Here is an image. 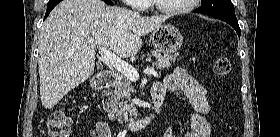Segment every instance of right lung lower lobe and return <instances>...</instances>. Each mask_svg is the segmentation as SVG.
<instances>
[{
    "label": "right lung lower lobe",
    "mask_w": 280,
    "mask_h": 137,
    "mask_svg": "<svg viewBox=\"0 0 280 137\" xmlns=\"http://www.w3.org/2000/svg\"><path fill=\"white\" fill-rule=\"evenodd\" d=\"M62 0H49L47 4V10L44 19L49 15L51 10ZM106 4L113 5V3L110 0H103Z\"/></svg>",
    "instance_id": "1"
}]
</instances>
